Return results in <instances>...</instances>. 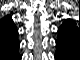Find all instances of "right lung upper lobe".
<instances>
[{"instance_id":"cb5924a9","label":"right lung upper lobe","mask_w":80,"mask_h":60,"mask_svg":"<svg viewBox=\"0 0 80 60\" xmlns=\"http://www.w3.org/2000/svg\"><path fill=\"white\" fill-rule=\"evenodd\" d=\"M7 21L4 26V37L2 41V46L7 47V44L10 46H17L18 39H17V29L9 19V16L6 18Z\"/></svg>"}]
</instances>
